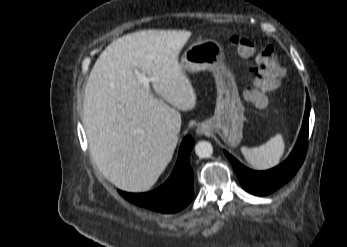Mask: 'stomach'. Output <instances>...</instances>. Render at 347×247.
I'll list each match as a JSON object with an SVG mask.
<instances>
[{"mask_svg": "<svg viewBox=\"0 0 347 247\" xmlns=\"http://www.w3.org/2000/svg\"><path fill=\"white\" fill-rule=\"evenodd\" d=\"M223 58L222 46L215 40L206 39L192 44L184 52L180 66L184 72L209 70L213 73L217 88L215 112L203 125L217 132L227 144L236 146L243 136L244 106Z\"/></svg>", "mask_w": 347, "mask_h": 247, "instance_id": "stomach-1", "label": "stomach"}]
</instances>
